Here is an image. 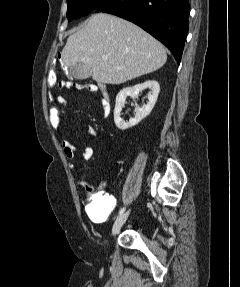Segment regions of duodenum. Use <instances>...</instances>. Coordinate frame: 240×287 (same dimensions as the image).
<instances>
[{
  "label": "duodenum",
  "instance_id": "obj_1",
  "mask_svg": "<svg viewBox=\"0 0 240 287\" xmlns=\"http://www.w3.org/2000/svg\"><path fill=\"white\" fill-rule=\"evenodd\" d=\"M99 88L102 90L103 94L107 97V86L105 84H100Z\"/></svg>",
  "mask_w": 240,
  "mask_h": 287
}]
</instances>
